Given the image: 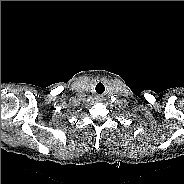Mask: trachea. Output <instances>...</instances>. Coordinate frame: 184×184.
<instances>
[{
	"mask_svg": "<svg viewBox=\"0 0 184 184\" xmlns=\"http://www.w3.org/2000/svg\"><path fill=\"white\" fill-rule=\"evenodd\" d=\"M94 91L98 95H103L106 92V86L103 83L99 82L95 85Z\"/></svg>",
	"mask_w": 184,
	"mask_h": 184,
	"instance_id": "trachea-1",
	"label": "trachea"
}]
</instances>
